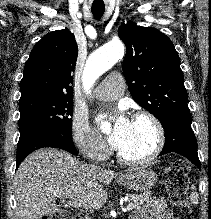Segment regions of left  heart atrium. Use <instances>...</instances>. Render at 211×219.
<instances>
[{"instance_id": "obj_1", "label": "left heart atrium", "mask_w": 211, "mask_h": 219, "mask_svg": "<svg viewBox=\"0 0 211 219\" xmlns=\"http://www.w3.org/2000/svg\"><path fill=\"white\" fill-rule=\"evenodd\" d=\"M132 122L124 115L120 114L114 122L108 141L113 148L119 150L125 143L131 132Z\"/></svg>"}]
</instances>
